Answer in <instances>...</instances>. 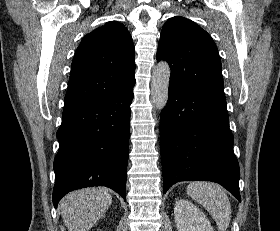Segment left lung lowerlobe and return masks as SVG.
<instances>
[{"label": "left lung lower lobe", "instance_id": "left-lung-lower-lobe-1", "mask_svg": "<svg viewBox=\"0 0 280 231\" xmlns=\"http://www.w3.org/2000/svg\"><path fill=\"white\" fill-rule=\"evenodd\" d=\"M160 140L164 193L180 181L207 180L221 184L241 202L223 92L169 84Z\"/></svg>", "mask_w": 280, "mask_h": 231}]
</instances>
